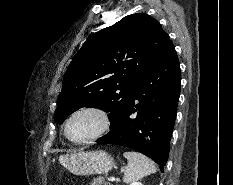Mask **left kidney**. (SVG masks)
<instances>
[{"instance_id": "1", "label": "left kidney", "mask_w": 233, "mask_h": 185, "mask_svg": "<svg viewBox=\"0 0 233 185\" xmlns=\"http://www.w3.org/2000/svg\"><path fill=\"white\" fill-rule=\"evenodd\" d=\"M132 185H143V184L140 183V182H135V183H133Z\"/></svg>"}]
</instances>
